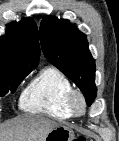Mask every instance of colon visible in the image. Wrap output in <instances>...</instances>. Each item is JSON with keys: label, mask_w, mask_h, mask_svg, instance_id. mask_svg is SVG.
<instances>
[{"label": "colon", "mask_w": 119, "mask_h": 141, "mask_svg": "<svg viewBox=\"0 0 119 141\" xmlns=\"http://www.w3.org/2000/svg\"><path fill=\"white\" fill-rule=\"evenodd\" d=\"M81 140H82V138H81V137H79V138H77V139H76V141H81Z\"/></svg>", "instance_id": "1"}]
</instances>
